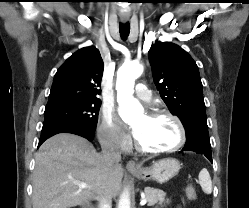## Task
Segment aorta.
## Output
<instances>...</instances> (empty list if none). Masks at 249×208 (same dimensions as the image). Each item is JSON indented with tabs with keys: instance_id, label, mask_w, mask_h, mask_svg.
I'll return each instance as SVG.
<instances>
[{
	"instance_id": "1",
	"label": "aorta",
	"mask_w": 249,
	"mask_h": 208,
	"mask_svg": "<svg viewBox=\"0 0 249 208\" xmlns=\"http://www.w3.org/2000/svg\"><path fill=\"white\" fill-rule=\"evenodd\" d=\"M143 66L138 63H125L117 73V101L120 107V117L126 123L138 118L143 113V107L133 97L134 82L141 76ZM130 195L124 191L118 203V208H130Z\"/></svg>"
}]
</instances>
